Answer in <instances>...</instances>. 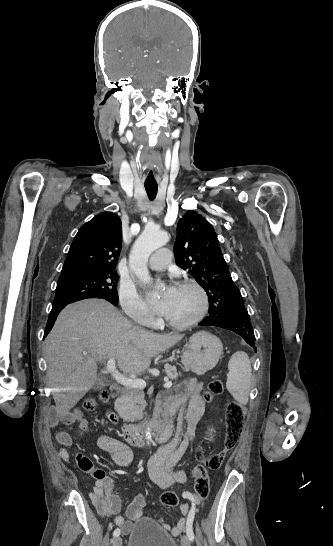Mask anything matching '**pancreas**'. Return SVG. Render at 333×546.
Masks as SVG:
<instances>
[{
	"instance_id": "pancreas-1",
	"label": "pancreas",
	"mask_w": 333,
	"mask_h": 546,
	"mask_svg": "<svg viewBox=\"0 0 333 546\" xmlns=\"http://www.w3.org/2000/svg\"><path fill=\"white\" fill-rule=\"evenodd\" d=\"M165 373L166 376L172 380H177L180 373L177 372L175 366L165 364ZM144 392L142 388H134L126 386L122 390L121 396L117 399L119 404L118 412L120 416L129 422H135L141 418L143 415V410L145 407Z\"/></svg>"
}]
</instances>
